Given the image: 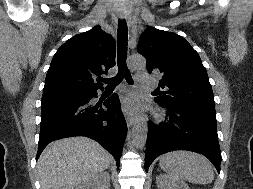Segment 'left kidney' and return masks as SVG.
<instances>
[{
	"label": "left kidney",
	"mask_w": 253,
	"mask_h": 189,
	"mask_svg": "<svg viewBox=\"0 0 253 189\" xmlns=\"http://www.w3.org/2000/svg\"><path fill=\"white\" fill-rule=\"evenodd\" d=\"M158 189H190L183 181L174 180L167 175L160 174L156 178Z\"/></svg>",
	"instance_id": "5707ae66"
}]
</instances>
